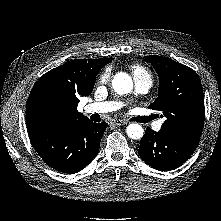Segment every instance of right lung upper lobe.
<instances>
[{
    "mask_svg": "<svg viewBox=\"0 0 221 221\" xmlns=\"http://www.w3.org/2000/svg\"><path fill=\"white\" fill-rule=\"evenodd\" d=\"M111 60H71L42 75L28 98L27 127L54 128L88 119L77 110L78 98L91 94L97 73Z\"/></svg>",
    "mask_w": 221,
    "mask_h": 221,
    "instance_id": "obj_1",
    "label": "right lung upper lobe"
}]
</instances>
